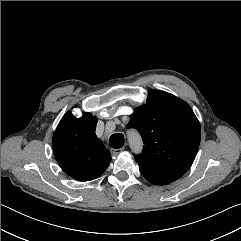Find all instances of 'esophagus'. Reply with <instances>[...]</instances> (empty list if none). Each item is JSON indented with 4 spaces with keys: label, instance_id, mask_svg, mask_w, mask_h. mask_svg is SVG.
I'll use <instances>...</instances> for the list:
<instances>
[{
    "label": "esophagus",
    "instance_id": "esophagus-1",
    "mask_svg": "<svg viewBox=\"0 0 241 241\" xmlns=\"http://www.w3.org/2000/svg\"><path fill=\"white\" fill-rule=\"evenodd\" d=\"M110 151H111V154H112V155L116 156V155H118L119 153H121L122 151H124V147L119 148V149H111Z\"/></svg>",
    "mask_w": 241,
    "mask_h": 241
}]
</instances>
